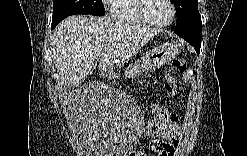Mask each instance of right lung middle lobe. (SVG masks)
<instances>
[{"label":"right lung middle lobe","mask_w":247,"mask_h":156,"mask_svg":"<svg viewBox=\"0 0 247 156\" xmlns=\"http://www.w3.org/2000/svg\"><path fill=\"white\" fill-rule=\"evenodd\" d=\"M75 14L102 16L105 9L102 0H54L52 22L59 23Z\"/></svg>","instance_id":"right-lung-middle-lobe-1"}]
</instances>
